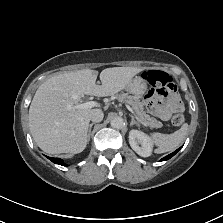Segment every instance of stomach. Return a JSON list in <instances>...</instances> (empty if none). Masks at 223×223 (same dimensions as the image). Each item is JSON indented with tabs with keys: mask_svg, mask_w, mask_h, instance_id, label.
<instances>
[{
	"mask_svg": "<svg viewBox=\"0 0 223 223\" xmlns=\"http://www.w3.org/2000/svg\"><path fill=\"white\" fill-rule=\"evenodd\" d=\"M153 71L152 69H146L141 72L139 76L131 79L126 88L130 90L133 94L137 92L139 95L143 94L146 91L147 86V75Z\"/></svg>",
	"mask_w": 223,
	"mask_h": 223,
	"instance_id": "obj_1",
	"label": "stomach"
}]
</instances>
